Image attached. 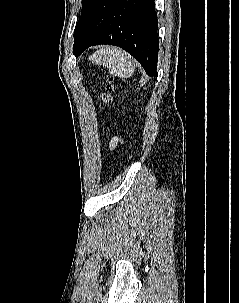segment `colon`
<instances>
[{
	"mask_svg": "<svg viewBox=\"0 0 239 303\" xmlns=\"http://www.w3.org/2000/svg\"><path fill=\"white\" fill-rule=\"evenodd\" d=\"M113 78L108 76L102 84L100 92V101L102 104H108L111 102V92L113 89Z\"/></svg>",
	"mask_w": 239,
	"mask_h": 303,
	"instance_id": "5ec220e1",
	"label": "colon"
}]
</instances>
